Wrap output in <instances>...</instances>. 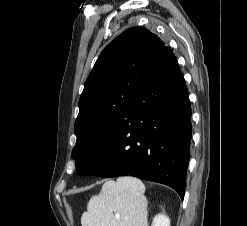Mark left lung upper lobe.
Masks as SVG:
<instances>
[{"label": "left lung upper lobe", "mask_w": 247, "mask_h": 226, "mask_svg": "<svg viewBox=\"0 0 247 226\" xmlns=\"http://www.w3.org/2000/svg\"><path fill=\"white\" fill-rule=\"evenodd\" d=\"M164 48L157 35L146 28L132 27L101 52L84 84L75 121L77 141L72 158L78 174L113 131Z\"/></svg>", "instance_id": "left-lung-upper-lobe-1"}]
</instances>
